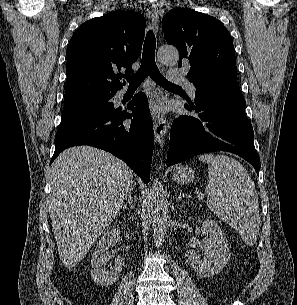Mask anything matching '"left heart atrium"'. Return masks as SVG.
<instances>
[{
    "mask_svg": "<svg viewBox=\"0 0 297 305\" xmlns=\"http://www.w3.org/2000/svg\"><path fill=\"white\" fill-rule=\"evenodd\" d=\"M162 109V106L160 103L156 102V103H153L150 107V110L153 114H158Z\"/></svg>",
    "mask_w": 297,
    "mask_h": 305,
    "instance_id": "left-heart-atrium-1",
    "label": "left heart atrium"
}]
</instances>
